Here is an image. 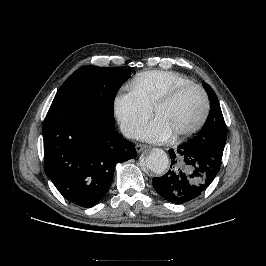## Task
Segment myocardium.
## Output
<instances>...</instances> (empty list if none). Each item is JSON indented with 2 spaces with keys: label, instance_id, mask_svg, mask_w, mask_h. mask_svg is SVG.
<instances>
[{
  "label": "myocardium",
  "instance_id": "obj_1",
  "mask_svg": "<svg viewBox=\"0 0 266 266\" xmlns=\"http://www.w3.org/2000/svg\"><path fill=\"white\" fill-rule=\"evenodd\" d=\"M190 89H196L202 94L204 100L203 112L198 121L193 126L181 132L175 133L173 135L175 139L187 138L198 132L205 124L210 111V99L206 90L202 86L195 83L179 85L171 89L163 97H161L152 108V114L154 116L158 110L171 104L180 94Z\"/></svg>",
  "mask_w": 266,
  "mask_h": 266
}]
</instances>
